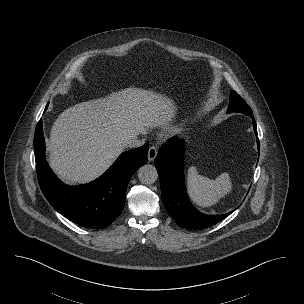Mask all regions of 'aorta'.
<instances>
[{
  "label": "aorta",
  "mask_w": 304,
  "mask_h": 304,
  "mask_svg": "<svg viewBox=\"0 0 304 304\" xmlns=\"http://www.w3.org/2000/svg\"><path fill=\"white\" fill-rule=\"evenodd\" d=\"M138 178L143 184H153L158 178V173L155 166L146 164L140 167L138 170Z\"/></svg>",
  "instance_id": "obj_1"
}]
</instances>
